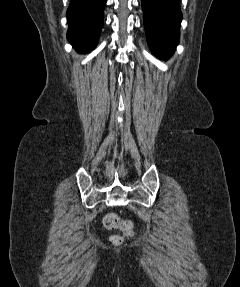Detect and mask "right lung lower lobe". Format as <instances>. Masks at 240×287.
I'll use <instances>...</instances> for the list:
<instances>
[{"label":"right lung lower lobe","instance_id":"right-lung-lower-lobe-1","mask_svg":"<svg viewBox=\"0 0 240 287\" xmlns=\"http://www.w3.org/2000/svg\"><path fill=\"white\" fill-rule=\"evenodd\" d=\"M106 0H71L67 10L69 42L81 53L98 43Z\"/></svg>","mask_w":240,"mask_h":287}]
</instances>
